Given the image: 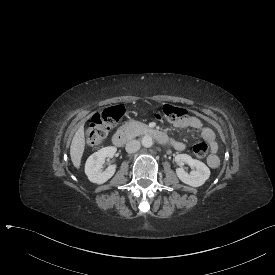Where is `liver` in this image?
Listing matches in <instances>:
<instances>
[{"mask_svg": "<svg viewBox=\"0 0 275 275\" xmlns=\"http://www.w3.org/2000/svg\"><path fill=\"white\" fill-rule=\"evenodd\" d=\"M85 147L84 126H80L76 131L70 146V156L73 165L78 169Z\"/></svg>", "mask_w": 275, "mask_h": 275, "instance_id": "obj_1", "label": "liver"}]
</instances>
